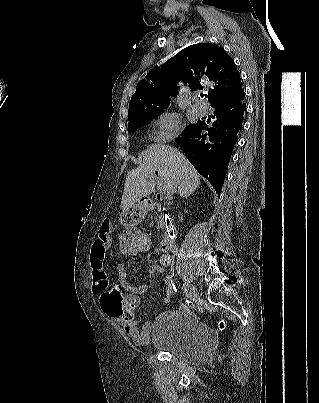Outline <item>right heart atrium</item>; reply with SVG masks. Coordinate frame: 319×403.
I'll return each instance as SVG.
<instances>
[{"instance_id": "d8ad5b80", "label": "right heart atrium", "mask_w": 319, "mask_h": 403, "mask_svg": "<svg viewBox=\"0 0 319 403\" xmlns=\"http://www.w3.org/2000/svg\"><path fill=\"white\" fill-rule=\"evenodd\" d=\"M180 126V118L175 112L164 111L154 119L153 138L158 143L169 142L178 135Z\"/></svg>"}]
</instances>
